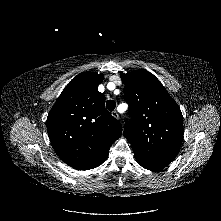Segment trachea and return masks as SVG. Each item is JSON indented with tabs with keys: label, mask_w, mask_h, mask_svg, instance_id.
Instances as JSON below:
<instances>
[{
	"label": "trachea",
	"mask_w": 221,
	"mask_h": 221,
	"mask_svg": "<svg viewBox=\"0 0 221 221\" xmlns=\"http://www.w3.org/2000/svg\"><path fill=\"white\" fill-rule=\"evenodd\" d=\"M116 107V103L114 100H108L106 102V108L109 110V111H113Z\"/></svg>",
	"instance_id": "3493384b"
}]
</instances>
